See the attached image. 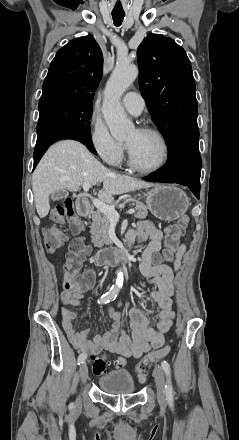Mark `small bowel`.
Returning a JSON list of instances; mask_svg holds the SVG:
<instances>
[{
  "label": "small bowel",
  "mask_w": 239,
  "mask_h": 440,
  "mask_svg": "<svg viewBox=\"0 0 239 440\" xmlns=\"http://www.w3.org/2000/svg\"><path fill=\"white\" fill-rule=\"evenodd\" d=\"M127 241L130 244L148 242L142 254L140 272L150 284L157 287L148 294V297L152 305L159 308L158 314L153 319H149L140 308H132L129 313L131 333L128 335L122 328V314L109 308L111 330L89 340L88 330H79L73 323L77 314L67 308H61L60 311L64 330L81 354L96 355L107 350L119 355L116 359L117 367H123L126 358L138 359L151 349L163 346L164 334L171 329L176 316L172 301L175 292L173 280L181 267L186 251L185 244H180L174 252V258L165 259L173 260L172 266L159 264L157 259L162 247L163 234L151 220H140L136 228L128 232ZM92 277L93 273L87 272L74 282L64 275L63 289L60 293L61 302L71 307L78 306Z\"/></svg>",
  "instance_id": "small-bowel-1"
}]
</instances>
